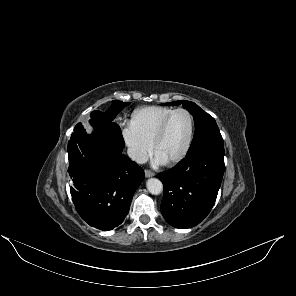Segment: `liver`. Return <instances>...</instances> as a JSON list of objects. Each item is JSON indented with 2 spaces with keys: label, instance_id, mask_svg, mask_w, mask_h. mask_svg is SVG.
<instances>
[{
  "label": "liver",
  "instance_id": "1",
  "mask_svg": "<svg viewBox=\"0 0 296 296\" xmlns=\"http://www.w3.org/2000/svg\"><path fill=\"white\" fill-rule=\"evenodd\" d=\"M86 129L88 132H91L92 128L89 125H86Z\"/></svg>",
  "mask_w": 296,
  "mask_h": 296
}]
</instances>
